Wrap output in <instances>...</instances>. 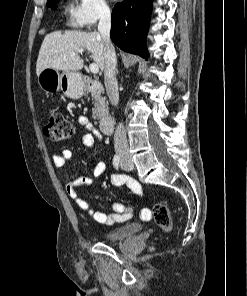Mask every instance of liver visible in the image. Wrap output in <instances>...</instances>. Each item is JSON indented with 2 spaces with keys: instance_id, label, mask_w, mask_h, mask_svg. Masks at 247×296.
I'll list each match as a JSON object with an SVG mask.
<instances>
[{
  "instance_id": "6515ba94",
  "label": "liver",
  "mask_w": 247,
  "mask_h": 296,
  "mask_svg": "<svg viewBox=\"0 0 247 296\" xmlns=\"http://www.w3.org/2000/svg\"><path fill=\"white\" fill-rule=\"evenodd\" d=\"M87 50L103 70L105 65L104 44L97 32L55 31L45 36L36 63L37 75L46 68L75 72L83 68L80 57Z\"/></svg>"
}]
</instances>
